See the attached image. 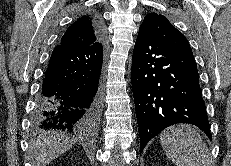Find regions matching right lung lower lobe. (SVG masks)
Instances as JSON below:
<instances>
[{"label":"right lung lower lobe","instance_id":"obj_1","mask_svg":"<svg viewBox=\"0 0 231 166\" xmlns=\"http://www.w3.org/2000/svg\"><path fill=\"white\" fill-rule=\"evenodd\" d=\"M103 52V40L54 48L36 101L38 128L82 135L94 131L102 107Z\"/></svg>","mask_w":231,"mask_h":166}]
</instances>
